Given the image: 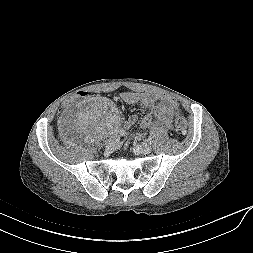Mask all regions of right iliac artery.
Masks as SVG:
<instances>
[{"label":"right iliac artery","instance_id":"right-iliac-artery-1","mask_svg":"<svg viewBox=\"0 0 253 253\" xmlns=\"http://www.w3.org/2000/svg\"><path fill=\"white\" fill-rule=\"evenodd\" d=\"M118 134H119L120 136H125V135H126V131L123 130V129H121V130L118 131Z\"/></svg>","mask_w":253,"mask_h":253}]
</instances>
